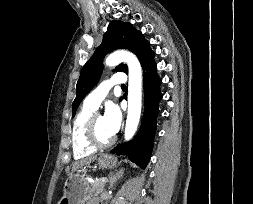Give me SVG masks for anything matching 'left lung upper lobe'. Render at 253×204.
Segmentation results:
<instances>
[{
    "instance_id": "left-lung-upper-lobe-1",
    "label": "left lung upper lobe",
    "mask_w": 253,
    "mask_h": 204,
    "mask_svg": "<svg viewBox=\"0 0 253 204\" xmlns=\"http://www.w3.org/2000/svg\"><path fill=\"white\" fill-rule=\"evenodd\" d=\"M119 48L132 51L142 63L144 56L150 49V44L145 40L143 34L130 23L119 20L111 21L101 45L95 50L93 56L86 62L81 71L76 85V98L72 104V117H74L80 102L100 79L103 69V57ZM115 70L128 72L125 64L119 65Z\"/></svg>"
}]
</instances>
